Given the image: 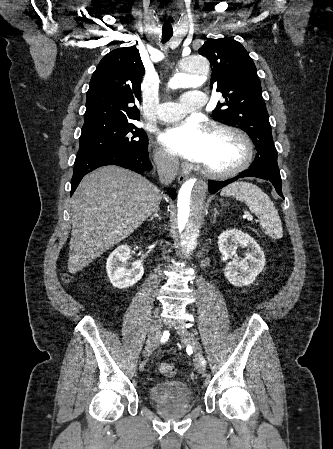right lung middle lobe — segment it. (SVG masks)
I'll use <instances>...</instances> for the list:
<instances>
[{"instance_id":"dd1d6c3e","label":"right lung middle lobe","mask_w":333,"mask_h":449,"mask_svg":"<svg viewBox=\"0 0 333 449\" xmlns=\"http://www.w3.org/2000/svg\"><path fill=\"white\" fill-rule=\"evenodd\" d=\"M79 143V151L114 150L126 153H144L148 144L144 130L137 128L132 121L83 126Z\"/></svg>"}]
</instances>
